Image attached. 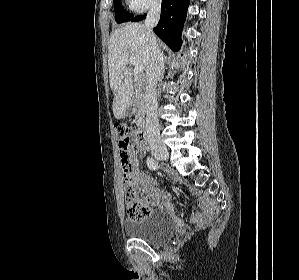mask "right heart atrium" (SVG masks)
I'll return each mask as SVG.
<instances>
[{"label":"right heart atrium","instance_id":"obj_1","mask_svg":"<svg viewBox=\"0 0 299 280\" xmlns=\"http://www.w3.org/2000/svg\"><path fill=\"white\" fill-rule=\"evenodd\" d=\"M129 6L136 12H143L159 4L160 0H127Z\"/></svg>","mask_w":299,"mask_h":280}]
</instances>
